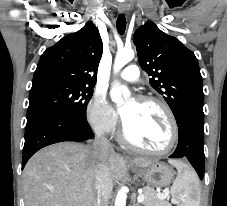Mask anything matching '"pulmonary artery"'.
<instances>
[{
	"label": "pulmonary artery",
	"instance_id": "e3ab8cb5",
	"mask_svg": "<svg viewBox=\"0 0 227 206\" xmlns=\"http://www.w3.org/2000/svg\"><path fill=\"white\" fill-rule=\"evenodd\" d=\"M121 80L135 83L139 81L140 71L136 65L127 66L118 76Z\"/></svg>",
	"mask_w": 227,
	"mask_h": 206
}]
</instances>
